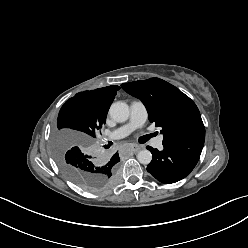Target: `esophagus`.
I'll return each instance as SVG.
<instances>
[{
    "mask_svg": "<svg viewBox=\"0 0 248 248\" xmlns=\"http://www.w3.org/2000/svg\"><path fill=\"white\" fill-rule=\"evenodd\" d=\"M139 150H141V146H140V145L133 144V145L131 146V151H132V152L136 153V152H138Z\"/></svg>",
    "mask_w": 248,
    "mask_h": 248,
    "instance_id": "esophagus-1",
    "label": "esophagus"
}]
</instances>
